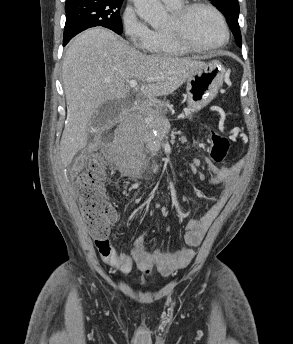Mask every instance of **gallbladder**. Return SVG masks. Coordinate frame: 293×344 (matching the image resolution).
<instances>
[{
  "instance_id": "bac80fb5",
  "label": "gallbladder",
  "mask_w": 293,
  "mask_h": 344,
  "mask_svg": "<svg viewBox=\"0 0 293 344\" xmlns=\"http://www.w3.org/2000/svg\"><path fill=\"white\" fill-rule=\"evenodd\" d=\"M121 111V106L117 100H110L103 103L90 120V125L94 129H102L112 121Z\"/></svg>"
}]
</instances>
